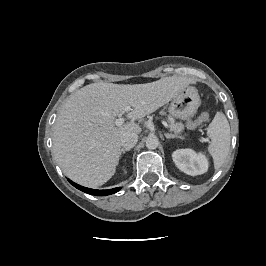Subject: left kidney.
I'll return each instance as SVG.
<instances>
[{
    "mask_svg": "<svg viewBox=\"0 0 266 266\" xmlns=\"http://www.w3.org/2000/svg\"><path fill=\"white\" fill-rule=\"evenodd\" d=\"M172 158L175 165L188 175L196 176L208 170L209 163L206 156L192 149H178L173 152Z\"/></svg>",
    "mask_w": 266,
    "mask_h": 266,
    "instance_id": "left-kidney-1",
    "label": "left kidney"
}]
</instances>
